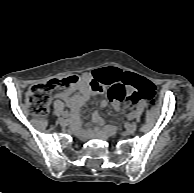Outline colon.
I'll list each match as a JSON object with an SVG mask.
<instances>
[{"mask_svg": "<svg viewBox=\"0 0 194 193\" xmlns=\"http://www.w3.org/2000/svg\"><path fill=\"white\" fill-rule=\"evenodd\" d=\"M78 83L76 76H66L62 78L52 79L44 83H35L30 86L26 93V105L30 112L35 115L42 116L47 113L51 101L52 94L61 92L73 91ZM141 85L144 86V80L136 77L133 74L124 73L121 79H112L103 85L107 87L109 99L113 103H123L125 105L131 104V96L134 94H127L125 87L127 85ZM93 92H100L103 86L93 84ZM150 94L148 95V97ZM155 100L151 99L150 104H154Z\"/></svg>", "mask_w": 194, "mask_h": 193, "instance_id": "1", "label": "colon"}]
</instances>
